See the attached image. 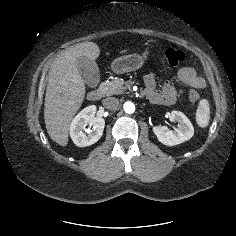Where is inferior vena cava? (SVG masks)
I'll return each mask as SVG.
<instances>
[{
	"label": "inferior vena cava",
	"instance_id": "obj_1",
	"mask_svg": "<svg viewBox=\"0 0 236 236\" xmlns=\"http://www.w3.org/2000/svg\"><path fill=\"white\" fill-rule=\"evenodd\" d=\"M102 102H103L104 107L110 110H115L119 106V100L116 97H108L104 99Z\"/></svg>",
	"mask_w": 236,
	"mask_h": 236
}]
</instances>
